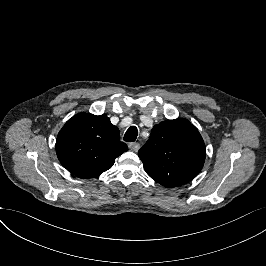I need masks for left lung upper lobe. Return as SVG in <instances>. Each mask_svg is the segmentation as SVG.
Listing matches in <instances>:
<instances>
[{"label":"left lung upper lobe","mask_w":266,"mask_h":266,"mask_svg":"<svg viewBox=\"0 0 266 266\" xmlns=\"http://www.w3.org/2000/svg\"><path fill=\"white\" fill-rule=\"evenodd\" d=\"M138 156L153 180L173 188L198 175L206 148L199 131L188 120L178 118L155 125Z\"/></svg>","instance_id":"left-lung-upper-lobe-1"}]
</instances>
